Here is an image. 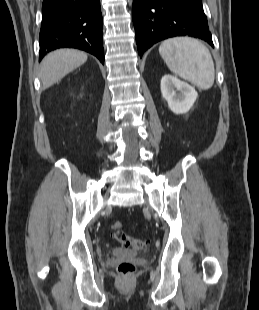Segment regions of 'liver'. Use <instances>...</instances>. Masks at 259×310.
<instances>
[{
    "instance_id": "obj_1",
    "label": "liver",
    "mask_w": 259,
    "mask_h": 310,
    "mask_svg": "<svg viewBox=\"0 0 259 310\" xmlns=\"http://www.w3.org/2000/svg\"><path fill=\"white\" fill-rule=\"evenodd\" d=\"M87 61V54L75 49H59L49 53L41 63L40 79L49 88Z\"/></svg>"
}]
</instances>
